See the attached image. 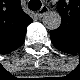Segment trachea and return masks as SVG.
<instances>
[{
    "label": "trachea",
    "mask_w": 80,
    "mask_h": 80,
    "mask_svg": "<svg viewBox=\"0 0 80 80\" xmlns=\"http://www.w3.org/2000/svg\"><path fill=\"white\" fill-rule=\"evenodd\" d=\"M29 9L37 11L41 8V2L38 0H31L28 4Z\"/></svg>",
    "instance_id": "1"
}]
</instances>
